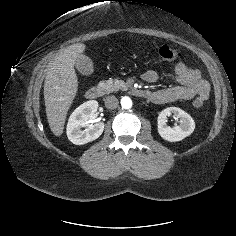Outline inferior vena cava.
Returning <instances> with one entry per match:
<instances>
[{
	"instance_id": "1",
	"label": "inferior vena cava",
	"mask_w": 236,
	"mask_h": 236,
	"mask_svg": "<svg viewBox=\"0 0 236 236\" xmlns=\"http://www.w3.org/2000/svg\"><path fill=\"white\" fill-rule=\"evenodd\" d=\"M119 105V101L115 96H108L105 99V106L108 109H116Z\"/></svg>"
}]
</instances>
